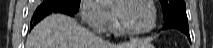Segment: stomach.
I'll return each instance as SVG.
<instances>
[{"label": "stomach", "mask_w": 213, "mask_h": 48, "mask_svg": "<svg viewBox=\"0 0 213 48\" xmlns=\"http://www.w3.org/2000/svg\"><path fill=\"white\" fill-rule=\"evenodd\" d=\"M138 48H154V46H152V45L150 44V46H147V47H138Z\"/></svg>", "instance_id": "stomach-1"}]
</instances>
